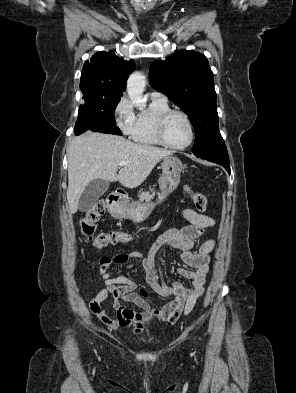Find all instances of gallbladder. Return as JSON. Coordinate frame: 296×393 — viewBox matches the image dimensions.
<instances>
[{"instance_id":"obj_1","label":"gallbladder","mask_w":296,"mask_h":393,"mask_svg":"<svg viewBox=\"0 0 296 393\" xmlns=\"http://www.w3.org/2000/svg\"><path fill=\"white\" fill-rule=\"evenodd\" d=\"M108 189V181L102 179L91 181L80 196L79 210L82 212L88 211Z\"/></svg>"}]
</instances>
